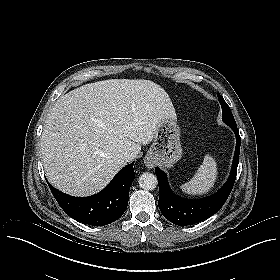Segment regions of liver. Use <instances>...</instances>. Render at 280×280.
Wrapping results in <instances>:
<instances>
[{"instance_id":"obj_1","label":"liver","mask_w":280,"mask_h":280,"mask_svg":"<svg viewBox=\"0 0 280 280\" xmlns=\"http://www.w3.org/2000/svg\"><path fill=\"white\" fill-rule=\"evenodd\" d=\"M176 120L160 85L144 79H109L85 84L61 96L49 112L40 153L45 175L57 189L90 196L108 185L158 124Z\"/></svg>"}]
</instances>
